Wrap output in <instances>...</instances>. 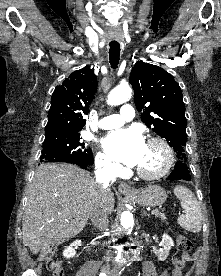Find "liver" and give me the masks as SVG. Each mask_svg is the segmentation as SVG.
<instances>
[{"label": "liver", "mask_w": 221, "mask_h": 276, "mask_svg": "<svg viewBox=\"0 0 221 276\" xmlns=\"http://www.w3.org/2000/svg\"><path fill=\"white\" fill-rule=\"evenodd\" d=\"M101 201L110 214L114 194L76 165H40L29 186L23 216V243L32 254L56 247L80 233L93 205Z\"/></svg>", "instance_id": "obj_1"}]
</instances>
